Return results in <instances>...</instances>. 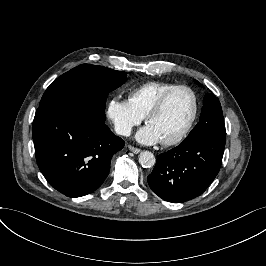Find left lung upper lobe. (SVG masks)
<instances>
[{
    "label": "left lung upper lobe",
    "instance_id": "left-lung-upper-lobe-1",
    "mask_svg": "<svg viewBox=\"0 0 266 266\" xmlns=\"http://www.w3.org/2000/svg\"><path fill=\"white\" fill-rule=\"evenodd\" d=\"M195 82L203 87L198 81ZM202 135L226 137L222 108L218 98L213 94H205L200 121L183 142Z\"/></svg>",
    "mask_w": 266,
    "mask_h": 266
}]
</instances>
